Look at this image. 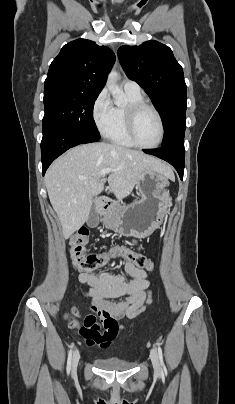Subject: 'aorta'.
I'll return each instance as SVG.
<instances>
[{
	"label": "aorta",
	"mask_w": 235,
	"mask_h": 404,
	"mask_svg": "<svg viewBox=\"0 0 235 404\" xmlns=\"http://www.w3.org/2000/svg\"><path fill=\"white\" fill-rule=\"evenodd\" d=\"M117 78H118V73L116 71H111L108 75L107 79V86L115 99V104L116 105H121L122 103V98H123V91L118 87L117 85Z\"/></svg>",
	"instance_id": "1"
}]
</instances>
